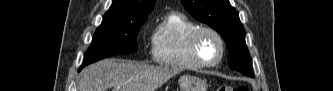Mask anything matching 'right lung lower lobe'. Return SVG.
Instances as JSON below:
<instances>
[{"label":"right lung lower lobe","mask_w":333,"mask_h":91,"mask_svg":"<svg viewBox=\"0 0 333 91\" xmlns=\"http://www.w3.org/2000/svg\"><path fill=\"white\" fill-rule=\"evenodd\" d=\"M84 66H86L85 64H83L80 68H79V71L84 67Z\"/></svg>","instance_id":"right-lung-lower-lobe-1"}]
</instances>
